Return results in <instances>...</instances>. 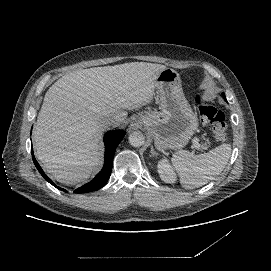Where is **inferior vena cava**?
<instances>
[{"label": "inferior vena cava", "instance_id": "inferior-vena-cava-1", "mask_svg": "<svg viewBox=\"0 0 271 271\" xmlns=\"http://www.w3.org/2000/svg\"><path fill=\"white\" fill-rule=\"evenodd\" d=\"M100 122V126L105 130L107 128H109L110 126L112 127H117L119 125V122L110 118H101L99 120Z\"/></svg>", "mask_w": 271, "mask_h": 271}]
</instances>
